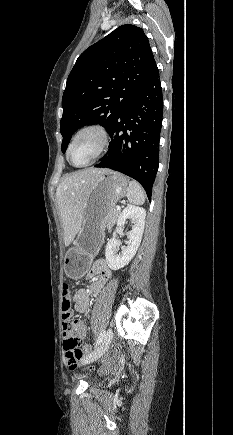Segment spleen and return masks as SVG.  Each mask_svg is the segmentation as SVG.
Instances as JSON below:
<instances>
[{
	"instance_id": "spleen-1",
	"label": "spleen",
	"mask_w": 233,
	"mask_h": 435,
	"mask_svg": "<svg viewBox=\"0 0 233 435\" xmlns=\"http://www.w3.org/2000/svg\"><path fill=\"white\" fill-rule=\"evenodd\" d=\"M127 198L130 203L142 205L145 202V192L141 185L135 180L129 181Z\"/></svg>"
}]
</instances>
